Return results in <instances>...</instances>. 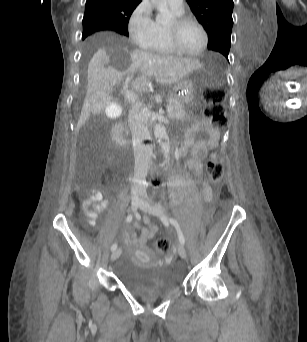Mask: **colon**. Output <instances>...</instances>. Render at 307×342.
<instances>
[{
  "mask_svg": "<svg viewBox=\"0 0 307 342\" xmlns=\"http://www.w3.org/2000/svg\"><path fill=\"white\" fill-rule=\"evenodd\" d=\"M228 87H205V109L204 115L210 124L217 128L223 129L228 124L223 103L225 94H228ZM223 164L216 158H212L207 162V173L214 183L220 182L223 178ZM158 252L167 255L170 252V242L167 239H159L156 243Z\"/></svg>",
  "mask_w": 307,
  "mask_h": 342,
  "instance_id": "colon-1",
  "label": "colon"
}]
</instances>
